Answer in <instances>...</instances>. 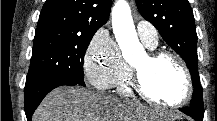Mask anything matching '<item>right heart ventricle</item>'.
<instances>
[{"label": "right heart ventricle", "mask_w": 217, "mask_h": 121, "mask_svg": "<svg viewBox=\"0 0 217 121\" xmlns=\"http://www.w3.org/2000/svg\"><path fill=\"white\" fill-rule=\"evenodd\" d=\"M148 47L153 49L155 46L153 47L148 46ZM114 87H116L117 93L119 95L128 96L134 93V87H133L132 77H131V69L127 65L123 76L117 81Z\"/></svg>", "instance_id": "e07e8e85"}]
</instances>
